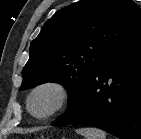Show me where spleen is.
Instances as JSON below:
<instances>
[{"label":"spleen","instance_id":"1","mask_svg":"<svg viewBox=\"0 0 141 139\" xmlns=\"http://www.w3.org/2000/svg\"><path fill=\"white\" fill-rule=\"evenodd\" d=\"M77 132L85 139H106V133L97 128H80Z\"/></svg>","mask_w":141,"mask_h":139}]
</instances>
